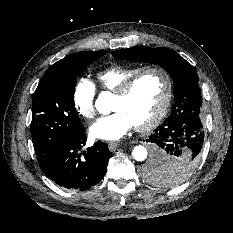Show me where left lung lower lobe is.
Segmentation results:
<instances>
[{"mask_svg":"<svg viewBox=\"0 0 233 233\" xmlns=\"http://www.w3.org/2000/svg\"><path fill=\"white\" fill-rule=\"evenodd\" d=\"M147 141L153 146V155L146 168L184 156L200 158L204 143L203 126L200 119L190 115L174 117L165 121ZM158 182L169 184L165 181Z\"/></svg>","mask_w":233,"mask_h":233,"instance_id":"0a47b994","label":"left lung lower lobe"}]
</instances>
